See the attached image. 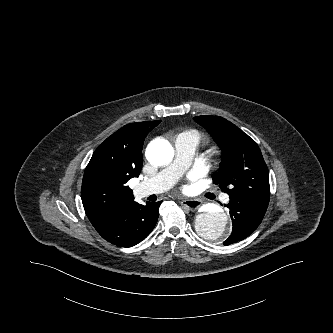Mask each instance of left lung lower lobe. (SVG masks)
<instances>
[{
	"label": "left lung lower lobe",
	"instance_id": "1",
	"mask_svg": "<svg viewBox=\"0 0 333 333\" xmlns=\"http://www.w3.org/2000/svg\"><path fill=\"white\" fill-rule=\"evenodd\" d=\"M232 219V233L224 241V245H230L248 237L261 223L267 208L245 204L236 200H230L228 205Z\"/></svg>",
	"mask_w": 333,
	"mask_h": 333
}]
</instances>
